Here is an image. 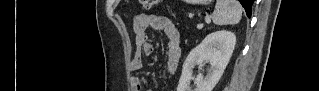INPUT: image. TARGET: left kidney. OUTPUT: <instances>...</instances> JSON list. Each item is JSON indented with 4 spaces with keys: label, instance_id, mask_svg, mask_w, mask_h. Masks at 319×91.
<instances>
[{
    "label": "left kidney",
    "instance_id": "5707ae66",
    "mask_svg": "<svg viewBox=\"0 0 319 91\" xmlns=\"http://www.w3.org/2000/svg\"><path fill=\"white\" fill-rule=\"evenodd\" d=\"M235 44L236 36L230 31L222 30L208 34L187 56L177 91H212L229 63ZM204 61L210 63V70L205 77L199 74L195 80L196 87L193 89L190 86L193 69L196 65L201 69Z\"/></svg>",
    "mask_w": 319,
    "mask_h": 91
}]
</instances>
